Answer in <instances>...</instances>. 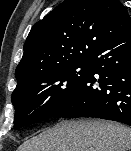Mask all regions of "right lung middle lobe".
I'll list each match as a JSON object with an SVG mask.
<instances>
[{
	"label": "right lung middle lobe",
	"mask_w": 131,
	"mask_h": 151,
	"mask_svg": "<svg viewBox=\"0 0 131 151\" xmlns=\"http://www.w3.org/2000/svg\"><path fill=\"white\" fill-rule=\"evenodd\" d=\"M90 74L89 63L62 67L17 87L12 93L14 128L53 117Z\"/></svg>",
	"instance_id": "right-lung-middle-lobe-1"
}]
</instances>
